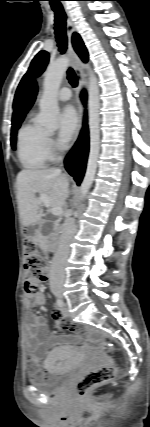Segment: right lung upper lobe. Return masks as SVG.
Returning <instances> with one entry per match:
<instances>
[{"mask_svg": "<svg viewBox=\"0 0 150 427\" xmlns=\"http://www.w3.org/2000/svg\"><path fill=\"white\" fill-rule=\"evenodd\" d=\"M72 43L75 51L80 56V58L86 62L88 60V52L84 46L83 41L77 33L73 34ZM37 94V85L35 81L28 80L25 85V88L19 99L17 108L13 114L12 124L23 121L26 113L33 105Z\"/></svg>", "mask_w": 150, "mask_h": 427, "instance_id": "1", "label": "right lung upper lobe"}]
</instances>
